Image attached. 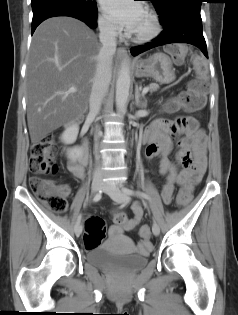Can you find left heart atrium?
<instances>
[{
  "label": "left heart atrium",
  "mask_w": 238,
  "mask_h": 315,
  "mask_svg": "<svg viewBox=\"0 0 238 315\" xmlns=\"http://www.w3.org/2000/svg\"><path fill=\"white\" fill-rule=\"evenodd\" d=\"M105 13L117 24L133 32L144 12L143 5L135 0H100Z\"/></svg>",
  "instance_id": "left-heart-atrium-1"
}]
</instances>
